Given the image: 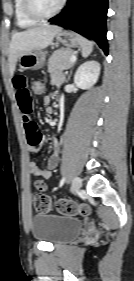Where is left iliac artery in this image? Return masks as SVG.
I'll list each match as a JSON object with an SVG mask.
<instances>
[{
    "label": "left iliac artery",
    "instance_id": "1",
    "mask_svg": "<svg viewBox=\"0 0 134 281\" xmlns=\"http://www.w3.org/2000/svg\"><path fill=\"white\" fill-rule=\"evenodd\" d=\"M65 181H66V178L63 177V178L61 179V181H60L59 186H60V187L63 186V184L65 183Z\"/></svg>",
    "mask_w": 134,
    "mask_h": 281
}]
</instances>
